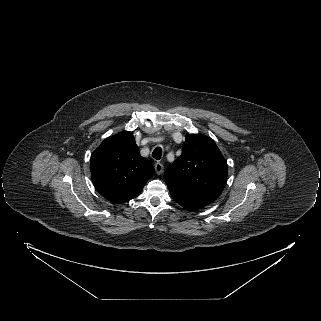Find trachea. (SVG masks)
Listing matches in <instances>:
<instances>
[{
    "label": "trachea",
    "instance_id": "3493384b",
    "mask_svg": "<svg viewBox=\"0 0 321 321\" xmlns=\"http://www.w3.org/2000/svg\"><path fill=\"white\" fill-rule=\"evenodd\" d=\"M162 156V149L161 147H157L154 149L152 152V157L155 158L156 160H160Z\"/></svg>",
    "mask_w": 321,
    "mask_h": 321
}]
</instances>
